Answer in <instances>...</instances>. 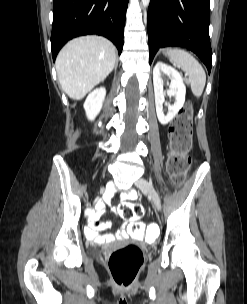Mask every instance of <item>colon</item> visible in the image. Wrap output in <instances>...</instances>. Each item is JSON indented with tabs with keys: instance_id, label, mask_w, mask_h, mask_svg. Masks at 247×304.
Wrapping results in <instances>:
<instances>
[{
	"instance_id": "5ec220e1",
	"label": "colon",
	"mask_w": 247,
	"mask_h": 304,
	"mask_svg": "<svg viewBox=\"0 0 247 304\" xmlns=\"http://www.w3.org/2000/svg\"><path fill=\"white\" fill-rule=\"evenodd\" d=\"M192 115V106L186 104L170 126V154L167 159V173L174 185L183 183L190 167ZM142 206L141 202H125L118 207L120 216L131 221L128 230L131 240L140 241L141 238L146 237L160 238L159 224H145L143 227L138 222L144 214ZM143 245L153 246L154 240L144 239ZM143 261V250L137 244L130 243L114 250L108 259V267L115 283L120 287L130 286Z\"/></svg>"
}]
</instances>
